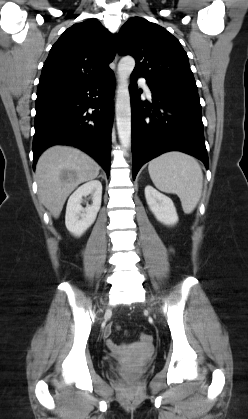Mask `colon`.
<instances>
[{"label":"colon","mask_w":248,"mask_h":419,"mask_svg":"<svg viewBox=\"0 0 248 419\" xmlns=\"http://www.w3.org/2000/svg\"><path fill=\"white\" fill-rule=\"evenodd\" d=\"M110 328H111V331H112V327H110ZM139 338L142 342H144L146 344H151L152 343V337L148 334H140Z\"/></svg>","instance_id":"obj_1"}]
</instances>
